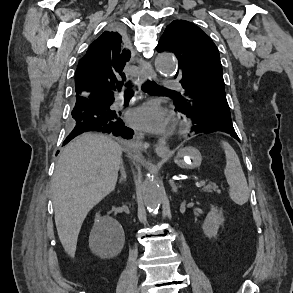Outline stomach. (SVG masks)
<instances>
[{
  "label": "stomach",
  "instance_id": "0dacf381",
  "mask_svg": "<svg viewBox=\"0 0 293 293\" xmlns=\"http://www.w3.org/2000/svg\"><path fill=\"white\" fill-rule=\"evenodd\" d=\"M202 161L201 153L197 148L187 146L178 150L174 158L175 164L180 168L194 169L199 167Z\"/></svg>",
  "mask_w": 293,
  "mask_h": 293
}]
</instances>
